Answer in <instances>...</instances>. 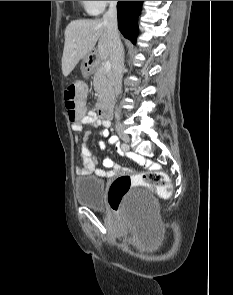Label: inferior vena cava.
<instances>
[{
    "label": "inferior vena cava",
    "mask_w": 233,
    "mask_h": 295,
    "mask_svg": "<svg viewBox=\"0 0 233 295\" xmlns=\"http://www.w3.org/2000/svg\"><path fill=\"white\" fill-rule=\"evenodd\" d=\"M117 1H109V9L103 16V21L108 28L109 54L112 63L113 91L110 103L113 104L120 93L122 86V73L124 70V58L122 44L117 27Z\"/></svg>",
    "instance_id": "obj_1"
}]
</instances>
